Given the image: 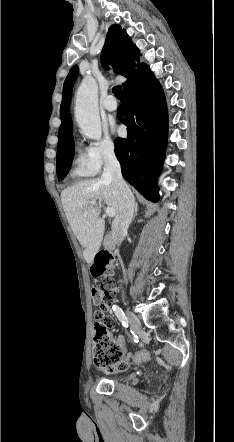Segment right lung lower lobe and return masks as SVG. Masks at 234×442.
<instances>
[{"instance_id":"98d812e1","label":"right lung lower lobe","mask_w":234,"mask_h":442,"mask_svg":"<svg viewBox=\"0 0 234 442\" xmlns=\"http://www.w3.org/2000/svg\"><path fill=\"white\" fill-rule=\"evenodd\" d=\"M123 93L118 118L127 126V138L115 139V154L124 179L156 202L168 137L165 96L150 69L129 80Z\"/></svg>"}]
</instances>
